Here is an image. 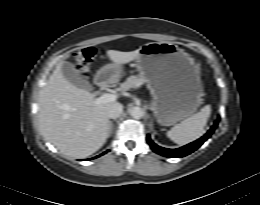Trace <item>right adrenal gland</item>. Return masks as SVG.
Here are the masks:
<instances>
[{"instance_id": "obj_1", "label": "right adrenal gland", "mask_w": 260, "mask_h": 205, "mask_svg": "<svg viewBox=\"0 0 260 205\" xmlns=\"http://www.w3.org/2000/svg\"><path fill=\"white\" fill-rule=\"evenodd\" d=\"M112 131H113V123H112V121H109V126H108V137L111 136Z\"/></svg>"}]
</instances>
